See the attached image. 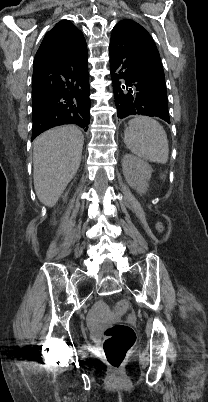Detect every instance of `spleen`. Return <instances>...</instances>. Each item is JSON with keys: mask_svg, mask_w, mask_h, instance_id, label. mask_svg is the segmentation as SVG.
Returning a JSON list of instances; mask_svg holds the SVG:
<instances>
[{"mask_svg": "<svg viewBox=\"0 0 208 402\" xmlns=\"http://www.w3.org/2000/svg\"><path fill=\"white\" fill-rule=\"evenodd\" d=\"M124 144L143 160L166 164L169 156V146L166 132L156 120L148 116H136L129 122V128L124 132Z\"/></svg>", "mask_w": 208, "mask_h": 402, "instance_id": "1", "label": "spleen"}]
</instances>
